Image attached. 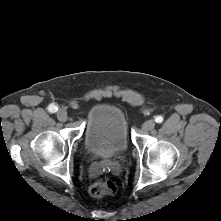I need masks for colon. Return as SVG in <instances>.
I'll use <instances>...</instances> for the list:
<instances>
[{
  "label": "colon",
  "instance_id": "1",
  "mask_svg": "<svg viewBox=\"0 0 221 221\" xmlns=\"http://www.w3.org/2000/svg\"><path fill=\"white\" fill-rule=\"evenodd\" d=\"M116 185L108 179H99L92 183L89 187L90 195L94 197H104L114 194Z\"/></svg>",
  "mask_w": 221,
  "mask_h": 221
}]
</instances>
